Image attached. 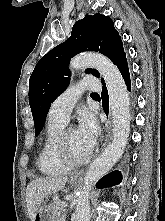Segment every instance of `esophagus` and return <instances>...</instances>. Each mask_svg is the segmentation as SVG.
<instances>
[{"mask_svg":"<svg viewBox=\"0 0 165 221\" xmlns=\"http://www.w3.org/2000/svg\"><path fill=\"white\" fill-rule=\"evenodd\" d=\"M111 128H112V121H111V118H109L108 123H107V134H106L104 145L107 143V141L110 137ZM79 174L80 173H76L75 176H78Z\"/></svg>","mask_w":165,"mask_h":221,"instance_id":"1","label":"esophagus"}]
</instances>
